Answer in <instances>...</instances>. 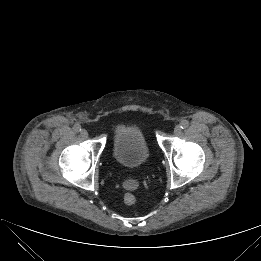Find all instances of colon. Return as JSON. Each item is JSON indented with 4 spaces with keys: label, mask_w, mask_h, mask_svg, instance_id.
<instances>
[{
    "label": "colon",
    "mask_w": 261,
    "mask_h": 261,
    "mask_svg": "<svg viewBox=\"0 0 261 261\" xmlns=\"http://www.w3.org/2000/svg\"><path fill=\"white\" fill-rule=\"evenodd\" d=\"M131 187L127 189V191L124 193L123 201L126 205H133L136 201V198L134 194L131 192Z\"/></svg>",
    "instance_id": "obj_1"
}]
</instances>
